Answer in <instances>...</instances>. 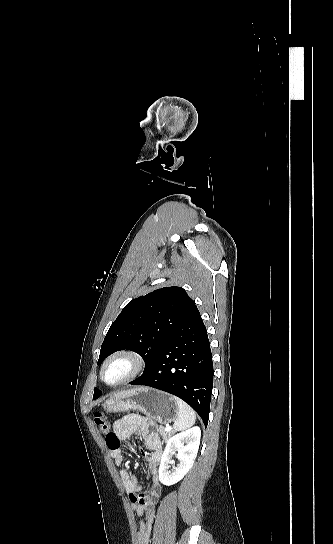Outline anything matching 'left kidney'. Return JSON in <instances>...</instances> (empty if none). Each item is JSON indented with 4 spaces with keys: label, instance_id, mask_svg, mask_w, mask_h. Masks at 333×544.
Returning <instances> with one entry per match:
<instances>
[{
    "label": "left kidney",
    "instance_id": "obj_1",
    "mask_svg": "<svg viewBox=\"0 0 333 544\" xmlns=\"http://www.w3.org/2000/svg\"><path fill=\"white\" fill-rule=\"evenodd\" d=\"M201 430L198 426L180 432L167 441L159 466V480L162 484L170 486L180 481L192 468L198 453ZM178 450L177 467L173 466L172 471L169 464L172 463V456Z\"/></svg>",
    "mask_w": 333,
    "mask_h": 544
}]
</instances>
